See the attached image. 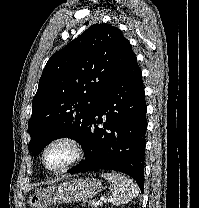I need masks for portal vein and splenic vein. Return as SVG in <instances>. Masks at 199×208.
I'll return each mask as SVG.
<instances>
[{
    "label": "portal vein and splenic vein",
    "instance_id": "portal-vein-and-splenic-vein-1",
    "mask_svg": "<svg viewBox=\"0 0 199 208\" xmlns=\"http://www.w3.org/2000/svg\"><path fill=\"white\" fill-rule=\"evenodd\" d=\"M105 199H100L99 201H97V205H102V202L104 201Z\"/></svg>",
    "mask_w": 199,
    "mask_h": 208
}]
</instances>
